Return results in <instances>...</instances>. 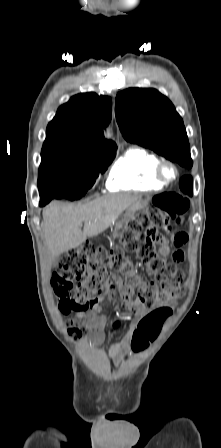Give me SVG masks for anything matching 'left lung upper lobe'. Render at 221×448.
I'll use <instances>...</instances> for the list:
<instances>
[{"instance_id": "1", "label": "left lung upper lobe", "mask_w": 221, "mask_h": 448, "mask_svg": "<svg viewBox=\"0 0 221 448\" xmlns=\"http://www.w3.org/2000/svg\"><path fill=\"white\" fill-rule=\"evenodd\" d=\"M115 112L127 141L192 167L183 120L167 97L155 89L129 88L117 95Z\"/></svg>"}]
</instances>
